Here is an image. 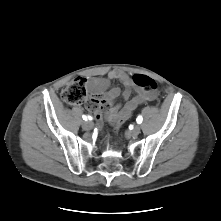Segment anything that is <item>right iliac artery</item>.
<instances>
[{
  "instance_id": "right-iliac-artery-1",
  "label": "right iliac artery",
  "mask_w": 221,
  "mask_h": 221,
  "mask_svg": "<svg viewBox=\"0 0 221 221\" xmlns=\"http://www.w3.org/2000/svg\"><path fill=\"white\" fill-rule=\"evenodd\" d=\"M83 120H85V121L92 120V117L83 115Z\"/></svg>"
}]
</instances>
